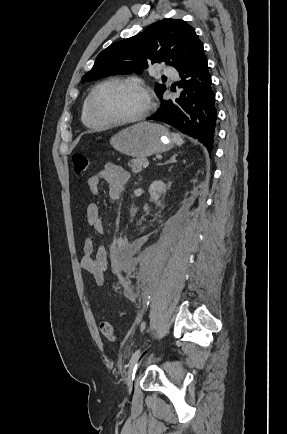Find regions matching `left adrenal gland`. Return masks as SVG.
I'll return each instance as SVG.
<instances>
[{"label":"left adrenal gland","mask_w":287,"mask_h":434,"mask_svg":"<svg viewBox=\"0 0 287 434\" xmlns=\"http://www.w3.org/2000/svg\"><path fill=\"white\" fill-rule=\"evenodd\" d=\"M178 154H174L168 161H166L164 164H168V163H175L176 162V157Z\"/></svg>","instance_id":"obj_1"}]
</instances>
